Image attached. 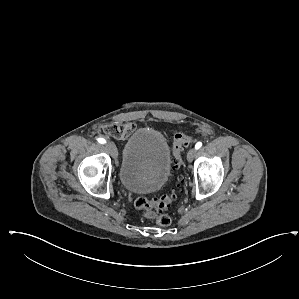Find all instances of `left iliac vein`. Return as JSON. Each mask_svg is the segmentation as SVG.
<instances>
[{"label":"left iliac vein","mask_w":299,"mask_h":299,"mask_svg":"<svg viewBox=\"0 0 299 299\" xmlns=\"http://www.w3.org/2000/svg\"><path fill=\"white\" fill-rule=\"evenodd\" d=\"M196 155V149L195 148H191L189 149V151L187 152V160L189 162H192L194 157Z\"/></svg>","instance_id":"4c4485c4"}]
</instances>
